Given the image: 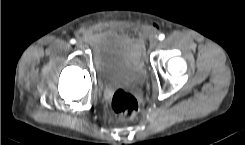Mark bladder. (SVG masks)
Here are the masks:
<instances>
[{
	"label": "bladder",
	"instance_id": "31cf9c89",
	"mask_svg": "<svg viewBox=\"0 0 245 145\" xmlns=\"http://www.w3.org/2000/svg\"><path fill=\"white\" fill-rule=\"evenodd\" d=\"M94 65L106 84L133 87L145 78V61L140 44L123 33L106 35L99 44Z\"/></svg>",
	"mask_w": 245,
	"mask_h": 145
}]
</instances>
